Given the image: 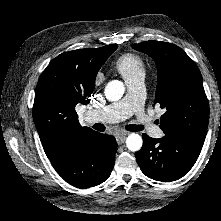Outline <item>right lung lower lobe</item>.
Here are the masks:
<instances>
[{
  "label": "right lung lower lobe",
  "instance_id": "right-lung-lower-lobe-1",
  "mask_svg": "<svg viewBox=\"0 0 221 221\" xmlns=\"http://www.w3.org/2000/svg\"><path fill=\"white\" fill-rule=\"evenodd\" d=\"M116 149L113 136L95 132L73 139L49 160L66 182L84 189L107 180L114 167Z\"/></svg>",
  "mask_w": 221,
  "mask_h": 221
}]
</instances>
